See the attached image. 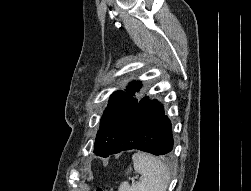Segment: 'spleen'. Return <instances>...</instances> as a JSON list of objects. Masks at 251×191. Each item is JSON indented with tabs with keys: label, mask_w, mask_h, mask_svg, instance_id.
<instances>
[{
	"label": "spleen",
	"mask_w": 251,
	"mask_h": 191,
	"mask_svg": "<svg viewBox=\"0 0 251 191\" xmlns=\"http://www.w3.org/2000/svg\"><path fill=\"white\" fill-rule=\"evenodd\" d=\"M132 161L135 173H141V181H134L131 185L128 181H123L118 191H166L169 171L161 159L144 151H137L133 153Z\"/></svg>",
	"instance_id": "1"
}]
</instances>
